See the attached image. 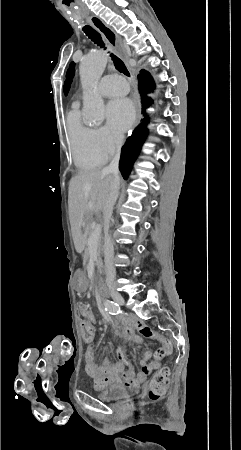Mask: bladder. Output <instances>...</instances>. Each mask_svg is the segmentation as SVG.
I'll use <instances>...</instances> for the list:
<instances>
[{"label": "bladder", "mask_w": 241, "mask_h": 450, "mask_svg": "<svg viewBox=\"0 0 241 450\" xmlns=\"http://www.w3.org/2000/svg\"><path fill=\"white\" fill-rule=\"evenodd\" d=\"M126 394V390L122 385L112 384L107 389L99 392V397L106 400L122 398Z\"/></svg>", "instance_id": "bladder-1"}]
</instances>
